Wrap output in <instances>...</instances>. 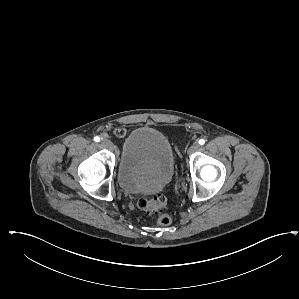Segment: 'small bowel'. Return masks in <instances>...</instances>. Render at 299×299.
Here are the masks:
<instances>
[{
	"label": "small bowel",
	"mask_w": 299,
	"mask_h": 299,
	"mask_svg": "<svg viewBox=\"0 0 299 299\" xmlns=\"http://www.w3.org/2000/svg\"><path fill=\"white\" fill-rule=\"evenodd\" d=\"M126 131L127 130L125 128H118V129L115 130V133L119 136H122L126 133Z\"/></svg>",
	"instance_id": "1"
}]
</instances>
